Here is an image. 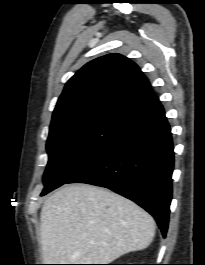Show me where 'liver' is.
Listing matches in <instances>:
<instances>
[{"label":"liver","instance_id":"obj_1","mask_svg":"<svg viewBox=\"0 0 205 265\" xmlns=\"http://www.w3.org/2000/svg\"><path fill=\"white\" fill-rule=\"evenodd\" d=\"M40 234L46 264H109L147 248L155 222L137 204L110 190L66 185L45 200Z\"/></svg>","mask_w":205,"mask_h":265}]
</instances>
